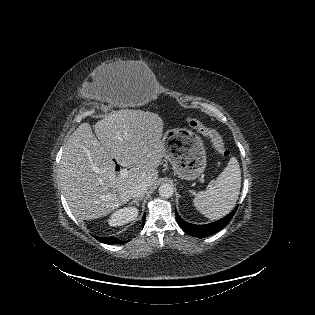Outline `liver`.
Segmentation results:
<instances>
[{
  "mask_svg": "<svg viewBox=\"0 0 315 315\" xmlns=\"http://www.w3.org/2000/svg\"><path fill=\"white\" fill-rule=\"evenodd\" d=\"M136 66L123 62L120 69ZM163 126L156 113L122 109L96 122V136L89 123H82L70 135L60 162V180L76 218L106 216L132 198L136 185L157 183V168L165 156ZM114 160L129 169L126 178L117 175Z\"/></svg>",
  "mask_w": 315,
  "mask_h": 315,
  "instance_id": "6515ba94",
  "label": "liver"
}]
</instances>
